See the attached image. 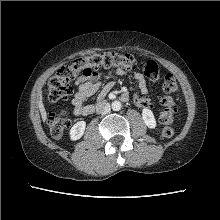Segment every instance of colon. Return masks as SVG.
Masks as SVG:
<instances>
[{
    "instance_id": "obj_1",
    "label": "colon",
    "mask_w": 220,
    "mask_h": 220,
    "mask_svg": "<svg viewBox=\"0 0 220 220\" xmlns=\"http://www.w3.org/2000/svg\"><path fill=\"white\" fill-rule=\"evenodd\" d=\"M137 59L131 54L117 52L95 53L73 60L70 64L61 66L52 76L48 84V100L51 103L67 100L73 93L71 83L80 74H90L102 68H121L125 70L135 69ZM159 65L149 60L144 65V74L151 81L159 79ZM178 90L176 78L172 74H166L162 81L163 94L160 97L162 109L159 120L162 124L160 135L170 138L175 132L176 102L174 94ZM49 128L53 137L59 138L69 126V117L64 110H53L49 114Z\"/></svg>"
}]
</instances>
